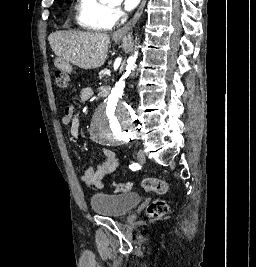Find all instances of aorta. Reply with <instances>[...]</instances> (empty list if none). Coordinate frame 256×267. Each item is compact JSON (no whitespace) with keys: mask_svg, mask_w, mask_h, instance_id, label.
<instances>
[{"mask_svg":"<svg viewBox=\"0 0 256 267\" xmlns=\"http://www.w3.org/2000/svg\"><path fill=\"white\" fill-rule=\"evenodd\" d=\"M138 52H134L128 60L126 70H134ZM128 75H121L117 86H124L127 83ZM116 95H110L108 101H100L99 108H95L92 127H133L134 117L132 108L123 104L121 96L122 89H115ZM121 133H128V128H89V138H94V143H115V138H121Z\"/></svg>","mask_w":256,"mask_h":267,"instance_id":"aorta-1","label":"aorta"}]
</instances>
